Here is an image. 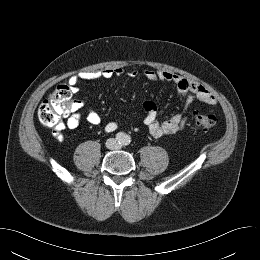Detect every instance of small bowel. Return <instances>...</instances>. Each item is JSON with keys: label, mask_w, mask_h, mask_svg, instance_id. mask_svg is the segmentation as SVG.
<instances>
[{"label": "small bowel", "mask_w": 260, "mask_h": 260, "mask_svg": "<svg viewBox=\"0 0 260 260\" xmlns=\"http://www.w3.org/2000/svg\"><path fill=\"white\" fill-rule=\"evenodd\" d=\"M123 74L124 70L121 67L83 71L72 75L69 78V84L71 85L72 89L76 91L81 81L110 79L115 76H122ZM139 75L140 73L137 70H131L128 72V76L131 78H136ZM143 76L150 81L159 80L173 83L176 87L178 96L184 99L183 112L186 111L195 100L210 106H213L217 103L216 97L207 87L186 77L165 70L153 69L144 70ZM81 109L82 102L80 100H73L71 102L68 113L65 116L66 126L69 129L77 128L83 116L90 124L98 125L101 122L100 115L96 111L89 110L85 113H82ZM142 110L144 115V123L147 126L149 132L156 138H161L165 135L173 134L183 129L187 122V118L183 112L177 113L165 121H158L157 107L152 101L144 102ZM118 126V122L110 121L105 125V131L113 132L118 128ZM61 130L62 128L56 132V137L58 139L63 138Z\"/></svg>", "instance_id": "c3829d8e"}]
</instances>
